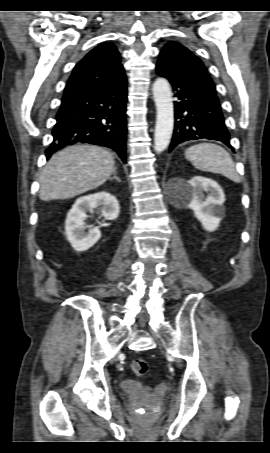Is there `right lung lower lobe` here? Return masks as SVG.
I'll list each match as a JSON object with an SVG mask.
<instances>
[{
	"mask_svg": "<svg viewBox=\"0 0 270 453\" xmlns=\"http://www.w3.org/2000/svg\"><path fill=\"white\" fill-rule=\"evenodd\" d=\"M126 101L125 74L99 91L63 97L47 159L65 146L90 143L115 150L126 162Z\"/></svg>",
	"mask_w": 270,
	"mask_h": 453,
	"instance_id": "1",
	"label": "right lung lower lobe"
}]
</instances>
